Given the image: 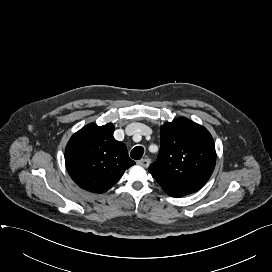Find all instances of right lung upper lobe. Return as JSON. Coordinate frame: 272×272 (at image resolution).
I'll list each match as a JSON object with an SVG mask.
<instances>
[{
  "instance_id": "right-lung-upper-lobe-1",
  "label": "right lung upper lobe",
  "mask_w": 272,
  "mask_h": 272,
  "mask_svg": "<svg viewBox=\"0 0 272 272\" xmlns=\"http://www.w3.org/2000/svg\"><path fill=\"white\" fill-rule=\"evenodd\" d=\"M114 126L90 123L76 132L65 150V164L72 180L81 188L104 193L135 164L124 143L113 137Z\"/></svg>"
}]
</instances>
